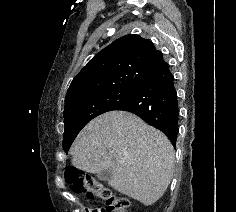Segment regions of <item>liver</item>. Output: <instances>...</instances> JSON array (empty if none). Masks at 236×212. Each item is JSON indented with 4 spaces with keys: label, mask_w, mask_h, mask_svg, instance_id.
Masks as SVG:
<instances>
[{
    "label": "liver",
    "mask_w": 236,
    "mask_h": 212,
    "mask_svg": "<svg viewBox=\"0 0 236 212\" xmlns=\"http://www.w3.org/2000/svg\"><path fill=\"white\" fill-rule=\"evenodd\" d=\"M74 167L89 173L111 169L109 185L145 206L168 188L175 153L169 139L139 117L110 111L90 121L71 147Z\"/></svg>",
    "instance_id": "6515ba94"
}]
</instances>
